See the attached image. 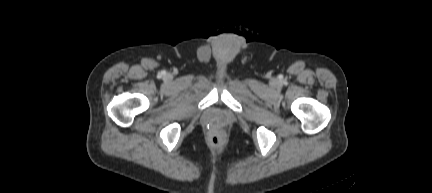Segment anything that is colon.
<instances>
[{"label": "colon", "mask_w": 432, "mask_h": 193, "mask_svg": "<svg viewBox=\"0 0 432 193\" xmlns=\"http://www.w3.org/2000/svg\"><path fill=\"white\" fill-rule=\"evenodd\" d=\"M224 139H225V137H224V135L222 133H215L212 136V142L215 145H221L224 142Z\"/></svg>", "instance_id": "obj_1"}]
</instances>
